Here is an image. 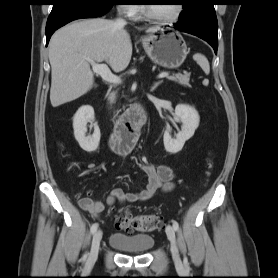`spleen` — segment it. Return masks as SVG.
Here are the masks:
<instances>
[{
    "label": "spleen",
    "mask_w": 278,
    "mask_h": 278,
    "mask_svg": "<svg viewBox=\"0 0 278 278\" xmlns=\"http://www.w3.org/2000/svg\"><path fill=\"white\" fill-rule=\"evenodd\" d=\"M193 58L200 65V67L206 74L210 73V65L207 58L204 55L197 53L193 56Z\"/></svg>",
    "instance_id": "spleen-1"
}]
</instances>
